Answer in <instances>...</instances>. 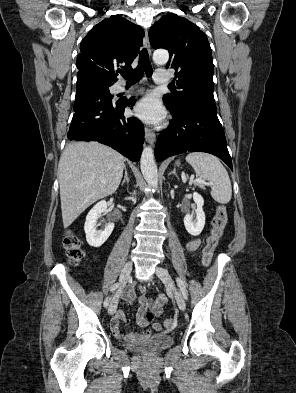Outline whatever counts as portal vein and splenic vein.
Returning a JSON list of instances; mask_svg holds the SVG:
<instances>
[{
    "instance_id": "obj_1",
    "label": "portal vein and splenic vein",
    "mask_w": 296,
    "mask_h": 393,
    "mask_svg": "<svg viewBox=\"0 0 296 393\" xmlns=\"http://www.w3.org/2000/svg\"><path fill=\"white\" fill-rule=\"evenodd\" d=\"M192 181H193V182H198V183H201V184H207V183H205V181H204V180H202V179H198V178H196V179H192Z\"/></svg>"
}]
</instances>
